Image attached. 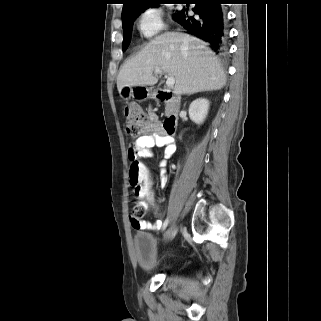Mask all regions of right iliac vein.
Returning a JSON list of instances; mask_svg holds the SVG:
<instances>
[{
	"label": "right iliac vein",
	"mask_w": 321,
	"mask_h": 321,
	"mask_svg": "<svg viewBox=\"0 0 321 321\" xmlns=\"http://www.w3.org/2000/svg\"><path fill=\"white\" fill-rule=\"evenodd\" d=\"M177 231V226L176 224H172L168 229L167 231L165 232L164 234V240L165 241H168L170 240L176 233Z\"/></svg>",
	"instance_id": "right-iliac-vein-1"
}]
</instances>
